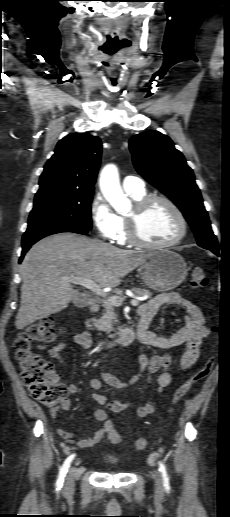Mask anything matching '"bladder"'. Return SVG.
Instances as JSON below:
<instances>
[{
	"mask_svg": "<svg viewBox=\"0 0 230 517\" xmlns=\"http://www.w3.org/2000/svg\"><path fill=\"white\" fill-rule=\"evenodd\" d=\"M107 462H108V463H110V464H112V463H113V461H112V460H107Z\"/></svg>",
	"mask_w": 230,
	"mask_h": 517,
	"instance_id": "obj_1",
	"label": "bladder"
}]
</instances>
